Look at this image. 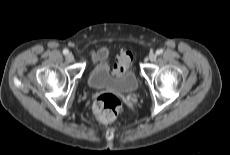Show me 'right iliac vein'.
I'll use <instances>...</instances> for the list:
<instances>
[{"mask_svg":"<svg viewBox=\"0 0 230 155\" xmlns=\"http://www.w3.org/2000/svg\"><path fill=\"white\" fill-rule=\"evenodd\" d=\"M66 61L67 62H73L74 61V55L72 53H68L66 55Z\"/></svg>","mask_w":230,"mask_h":155,"instance_id":"1","label":"right iliac vein"}]
</instances>
